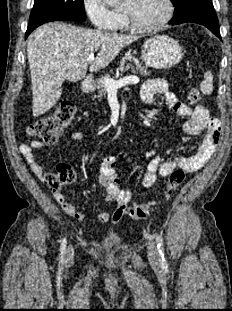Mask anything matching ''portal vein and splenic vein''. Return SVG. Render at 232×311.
<instances>
[{"label":"portal vein and splenic vein","mask_w":232,"mask_h":311,"mask_svg":"<svg viewBox=\"0 0 232 311\" xmlns=\"http://www.w3.org/2000/svg\"><path fill=\"white\" fill-rule=\"evenodd\" d=\"M93 60H94V54L91 53L86 58V62L91 63ZM138 82H139L138 77L128 76V77L121 78L118 81L111 79V78H106L103 81V85L106 88V90L111 91V90H116L128 84H137Z\"/></svg>","instance_id":"obj_1"}]
</instances>
